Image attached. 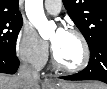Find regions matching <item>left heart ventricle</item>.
Here are the masks:
<instances>
[{"mask_svg": "<svg viewBox=\"0 0 107 89\" xmlns=\"http://www.w3.org/2000/svg\"><path fill=\"white\" fill-rule=\"evenodd\" d=\"M57 59L63 65L73 67L82 61L83 50L80 41L74 35L64 32L58 36L57 30L50 35Z\"/></svg>", "mask_w": 107, "mask_h": 89, "instance_id": "b2bd125f", "label": "left heart ventricle"}]
</instances>
